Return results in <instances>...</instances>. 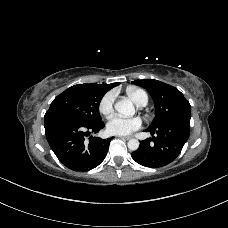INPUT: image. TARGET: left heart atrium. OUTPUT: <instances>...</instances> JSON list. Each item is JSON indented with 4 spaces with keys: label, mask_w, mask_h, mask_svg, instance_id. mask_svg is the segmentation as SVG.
I'll return each instance as SVG.
<instances>
[{
    "label": "left heart atrium",
    "mask_w": 228,
    "mask_h": 228,
    "mask_svg": "<svg viewBox=\"0 0 228 228\" xmlns=\"http://www.w3.org/2000/svg\"><path fill=\"white\" fill-rule=\"evenodd\" d=\"M139 118H124L119 115L112 116L107 123L108 132L116 135H126L141 128Z\"/></svg>",
    "instance_id": "left-heart-atrium-1"
}]
</instances>
